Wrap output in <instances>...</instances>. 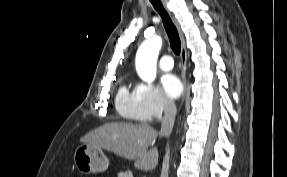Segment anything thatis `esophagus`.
<instances>
[{
    "instance_id": "esophagus-1",
    "label": "esophagus",
    "mask_w": 287,
    "mask_h": 177,
    "mask_svg": "<svg viewBox=\"0 0 287 177\" xmlns=\"http://www.w3.org/2000/svg\"><path fill=\"white\" fill-rule=\"evenodd\" d=\"M161 3L163 5L164 9L166 10V12L168 13V15L170 16L173 24L177 28L180 39H181V71H182V80L184 83L185 93H186V90H187V86H186L187 51H186V46H185V39H184L181 27H180L176 17L168 9L167 0H161Z\"/></svg>"
}]
</instances>
